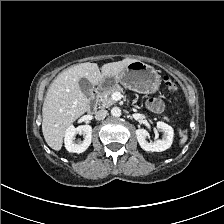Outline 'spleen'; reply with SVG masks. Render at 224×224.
I'll return each instance as SVG.
<instances>
[{
    "instance_id": "obj_1",
    "label": "spleen",
    "mask_w": 224,
    "mask_h": 224,
    "mask_svg": "<svg viewBox=\"0 0 224 224\" xmlns=\"http://www.w3.org/2000/svg\"><path fill=\"white\" fill-rule=\"evenodd\" d=\"M187 141V135L183 134L180 140V145H183Z\"/></svg>"
}]
</instances>
